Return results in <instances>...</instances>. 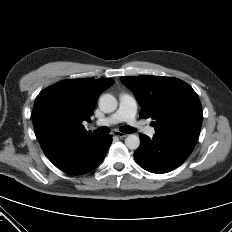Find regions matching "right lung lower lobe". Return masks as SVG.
<instances>
[{
  "mask_svg": "<svg viewBox=\"0 0 232 232\" xmlns=\"http://www.w3.org/2000/svg\"><path fill=\"white\" fill-rule=\"evenodd\" d=\"M111 142V135H95L86 142L62 147L47 158L64 172L74 175L85 174L100 165Z\"/></svg>",
  "mask_w": 232,
  "mask_h": 232,
  "instance_id": "1",
  "label": "right lung lower lobe"
}]
</instances>
